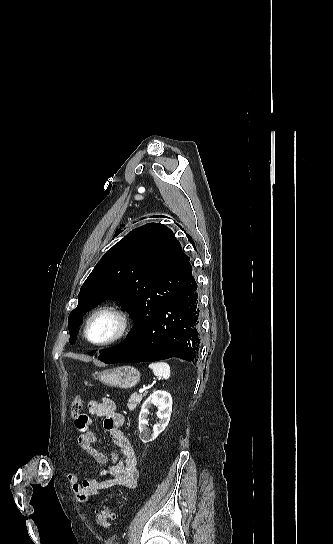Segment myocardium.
Instances as JSON below:
<instances>
[{"label": "myocardium", "instance_id": "obj_1", "mask_svg": "<svg viewBox=\"0 0 333 544\" xmlns=\"http://www.w3.org/2000/svg\"><path fill=\"white\" fill-rule=\"evenodd\" d=\"M109 313L113 315L118 323L116 332L107 340L104 341H93L89 337V328L92 321L100 314ZM131 326V317L127 310L123 308L120 304L115 302L104 303L97 308H95L91 314L88 316L85 326H84V337L85 339L94 346H108L120 341L129 331Z\"/></svg>", "mask_w": 333, "mask_h": 544}]
</instances>
